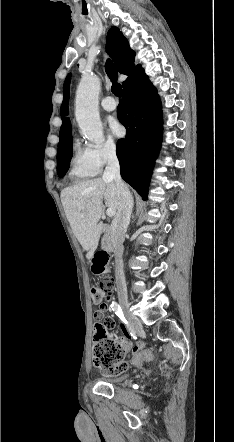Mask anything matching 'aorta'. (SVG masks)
<instances>
[{
	"mask_svg": "<svg viewBox=\"0 0 234 442\" xmlns=\"http://www.w3.org/2000/svg\"><path fill=\"white\" fill-rule=\"evenodd\" d=\"M101 83L95 76H84L76 92L75 115L82 134L95 143L103 142V127L99 117L98 98Z\"/></svg>",
	"mask_w": 234,
	"mask_h": 442,
	"instance_id": "1",
	"label": "aorta"
}]
</instances>
